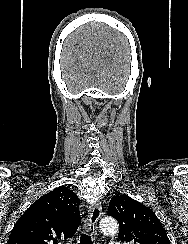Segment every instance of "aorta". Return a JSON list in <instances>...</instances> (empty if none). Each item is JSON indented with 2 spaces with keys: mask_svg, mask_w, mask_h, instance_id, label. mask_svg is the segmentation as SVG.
Masks as SVG:
<instances>
[{
  "mask_svg": "<svg viewBox=\"0 0 188 244\" xmlns=\"http://www.w3.org/2000/svg\"><path fill=\"white\" fill-rule=\"evenodd\" d=\"M100 230L107 235H113L118 232V223L112 217H104L99 224Z\"/></svg>",
  "mask_w": 188,
  "mask_h": 244,
  "instance_id": "obj_1",
  "label": "aorta"
}]
</instances>
